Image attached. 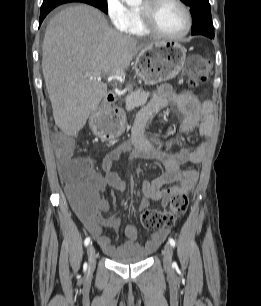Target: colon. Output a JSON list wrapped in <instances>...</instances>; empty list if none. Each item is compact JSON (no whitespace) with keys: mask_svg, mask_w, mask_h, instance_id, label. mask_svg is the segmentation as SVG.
I'll use <instances>...</instances> for the list:
<instances>
[{"mask_svg":"<svg viewBox=\"0 0 261 306\" xmlns=\"http://www.w3.org/2000/svg\"><path fill=\"white\" fill-rule=\"evenodd\" d=\"M210 68V63L206 59L198 56L190 57L185 66L188 83L192 87H197L203 83L210 72ZM95 121L102 127L100 131L106 138H115L121 130V116L117 111L116 113L109 112L106 115H101ZM70 145L69 140H63L59 145L62 157L67 159L60 170V174L67 184L72 203L75 206H81L94 195L88 183L90 169L85 160L71 158L69 155ZM188 203L189 200L185 194H176L171 200L169 210H144L141 214V223L149 230L171 227L179 217L185 214Z\"/></svg>","mask_w":261,"mask_h":306,"instance_id":"obj_1","label":"colon"}]
</instances>
